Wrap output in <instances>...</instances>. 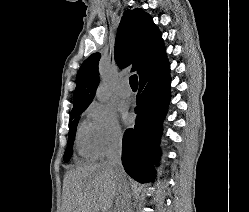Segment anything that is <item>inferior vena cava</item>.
Wrapping results in <instances>:
<instances>
[{
    "label": "inferior vena cava",
    "instance_id": "602c4592",
    "mask_svg": "<svg viewBox=\"0 0 249 212\" xmlns=\"http://www.w3.org/2000/svg\"><path fill=\"white\" fill-rule=\"evenodd\" d=\"M121 156L122 138H119V140H115V142L110 144L109 150L106 154V162L109 166H113L116 174V184L118 186V192L115 194L116 200L114 212H132L130 206L131 196L129 194V184L125 176H123L125 172L122 168Z\"/></svg>",
    "mask_w": 249,
    "mask_h": 212
}]
</instances>
